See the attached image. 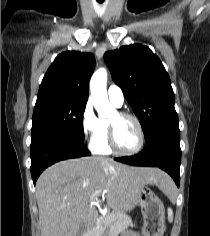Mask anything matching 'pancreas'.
Wrapping results in <instances>:
<instances>
[{"label": "pancreas", "mask_w": 210, "mask_h": 236, "mask_svg": "<svg viewBox=\"0 0 210 236\" xmlns=\"http://www.w3.org/2000/svg\"><path fill=\"white\" fill-rule=\"evenodd\" d=\"M129 226H133L132 219L120 210H113L111 213L100 219L96 225L89 230V236H104L106 231L118 234Z\"/></svg>", "instance_id": "pancreas-1"}]
</instances>
